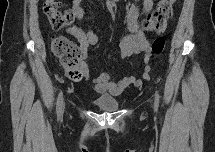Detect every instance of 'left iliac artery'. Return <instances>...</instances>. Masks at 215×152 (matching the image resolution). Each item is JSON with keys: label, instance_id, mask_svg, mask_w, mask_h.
<instances>
[{"label": "left iliac artery", "instance_id": "left-iliac-artery-1", "mask_svg": "<svg viewBox=\"0 0 215 152\" xmlns=\"http://www.w3.org/2000/svg\"><path fill=\"white\" fill-rule=\"evenodd\" d=\"M159 98H160V96H159L158 92L156 91V92H155V103H154L155 110L158 109V106H159Z\"/></svg>", "mask_w": 215, "mask_h": 152}]
</instances>
